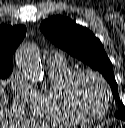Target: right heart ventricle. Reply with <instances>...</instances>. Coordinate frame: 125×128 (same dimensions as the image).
I'll use <instances>...</instances> for the list:
<instances>
[{"instance_id": "e07e8e85", "label": "right heart ventricle", "mask_w": 125, "mask_h": 128, "mask_svg": "<svg viewBox=\"0 0 125 128\" xmlns=\"http://www.w3.org/2000/svg\"><path fill=\"white\" fill-rule=\"evenodd\" d=\"M73 71L65 60L48 62V82L41 90L35 91L30 103L31 112L34 116L69 125H78L85 122L70 109L64 97V84Z\"/></svg>"}]
</instances>
